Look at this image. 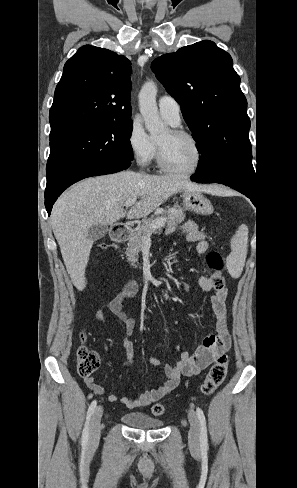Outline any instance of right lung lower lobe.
Returning a JSON list of instances; mask_svg holds the SVG:
<instances>
[{"instance_id":"obj_1","label":"right lung lower lobe","mask_w":297,"mask_h":488,"mask_svg":"<svg viewBox=\"0 0 297 488\" xmlns=\"http://www.w3.org/2000/svg\"><path fill=\"white\" fill-rule=\"evenodd\" d=\"M131 165V162H113V163H102V164H94L84 168L79 169L78 171L72 173L71 175L65 177L63 180L58 182L53 187L47 189L45 191V207L50 215L52 206L57 198L61 195V193L68 188L70 185L84 179L87 177L98 176V175H105L111 174L115 172L122 171L127 169Z\"/></svg>"}]
</instances>
